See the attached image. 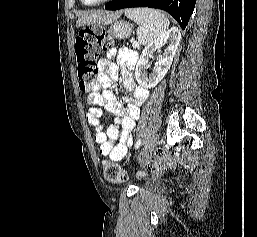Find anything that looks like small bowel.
I'll return each instance as SVG.
<instances>
[{"label":"small bowel","mask_w":257,"mask_h":237,"mask_svg":"<svg viewBox=\"0 0 257 237\" xmlns=\"http://www.w3.org/2000/svg\"><path fill=\"white\" fill-rule=\"evenodd\" d=\"M114 55L115 51L108 53L109 57ZM136 61L137 56L134 51L121 49L118 52L123 85L131 93V96L123 97L125 105L113 91L109 90L119 73L118 66L109 60H100L101 72L98 81L88 95L90 107L86 115L87 121L95 128L94 139L100 147L101 154L109 157L112 161H121L127 156L134 140L135 122L139 118V107L148 98V90L139 87L132 76ZM101 88L105 90L101 92ZM103 109L114 116L108 127H105L102 118Z\"/></svg>","instance_id":"c3829d8e"}]
</instances>
